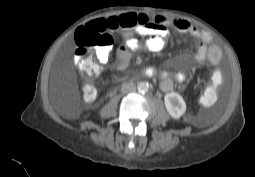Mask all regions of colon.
<instances>
[{
  "mask_svg": "<svg viewBox=\"0 0 255 177\" xmlns=\"http://www.w3.org/2000/svg\"><path fill=\"white\" fill-rule=\"evenodd\" d=\"M148 23L149 18L143 14L127 13L90 22L86 24L85 29L78 28L75 33V65L90 80L94 79L101 71V64L96 59V53L100 48L112 46L114 42L113 33L120 30H135L137 27L145 26ZM83 95L87 101H93L96 97L94 86L88 84L84 88Z\"/></svg>",
  "mask_w": 255,
  "mask_h": 177,
  "instance_id": "colon-1",
  "label": "colon"
}]
</instances>
